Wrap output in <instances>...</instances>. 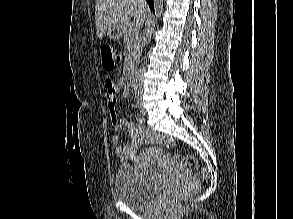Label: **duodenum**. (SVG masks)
<instances>
[{
	"mask_svg": "<svg viewBox=\"0 0 293 219\" xmlns=\"http://www.w3.org/2000/svg\"><path fill=\"white\" fill-rule=\"evenodd\" d=\"M127 81L128 83H130L131 85H135V75H134V70L133 68L130 66L127 70Z\"/></svg>",
	"mask_w": 293,
	"mask_h": 219,
	"instance_id": "410a0bca",
	"label": "duodenum"
}]
</instances>
